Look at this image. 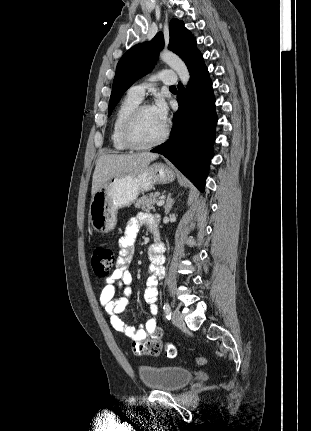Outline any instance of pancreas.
<instances>
[{"mask_svg": "<svg viewBox=\"0 0 311 431\" xmlns=\"http://www.w3.org/2000/svg\"><path fill=\"white\" fill-rule=\"evenodd\" d=\"M158 196H161L160 192H152V194H147V196H142L139 200H136L134 204L135 208H140L142 212H150V210H155L153 204H156Z\"/></svg>", "mask_w": 311, "mask_h": 431, "instance_id": "obj_1", "label": "pancreas"}]
</instances>
